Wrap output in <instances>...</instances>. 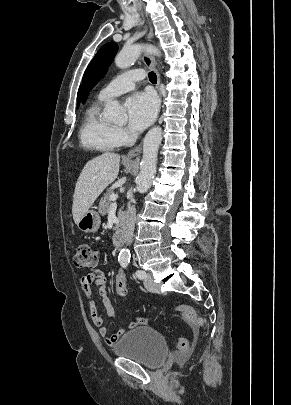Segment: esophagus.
Returning <instances> with one entry per match:
<instances>
[{"mask_svg": "<svg viewBox=\"0 0 291 405\" xmlns=\"http://www.w3.org/2000/svg\"><path fill=\"white\" fill-rule=\"evenodd\" d=\"M152 36H153L152 35V28H150V31H149V33L147 35V40L151 41ZM142 59H143L144 64L146 65V67H148L150 70H152V71H154L156 73V75H157V89H158L159 95L161 96V91H160L161 76H160V73H159L158 69L156 68V62H155L154 56H152V55H150L148 53H145L143 55ZM141 150H142V143L139 144L134 149L130 150L127 153L126 157L128 159L138 158L140 153H141Z\"/></svg>", "mask_w": 291, "mask_h": 405, "instance_id": "1", "label": "esophagus"}]
</instances>
